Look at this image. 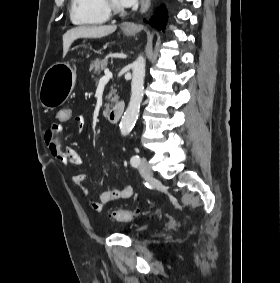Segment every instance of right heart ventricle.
<instances>
[{
	"instance_id": "e07e8e85",
	"label": "right heart ventricle",
	"mask_w": 280,
	"mask_h": 283,
	"mask_svg": "<svg viewBox=\"0 0 280 283\" xmlns=\"http://www.w3.org/2000/svg\"><path fill=\"white\" fill-rule=\"evenodd\" d=\"M70 18L76 25H96L106 22L109 14L101 0H71Z\"/></svg>"
}]
</instances>
